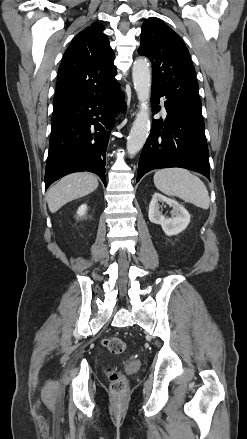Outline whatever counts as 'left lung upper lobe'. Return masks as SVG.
<instances>
[{
	"mask_svg": "<svg viewBox=\"0 0 247 439\" xmlns=\"http://www.w3.org/2000/svg\"><path fill=\"white\" fill-rule=\"evenodd\" d=\"M138 53L152 63V87L201 111L195 69L188 49L177 33L159 18L147 19L142 25Z\"/></svg>",
	"mask_w": 247,
	"mask_h": 439,
	"instance_id": "5c2ea615",
	"label": "left lung upper lobe"
}]
</instances>
